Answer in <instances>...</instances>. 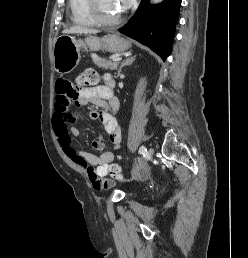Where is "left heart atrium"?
<instances>
[{"label": "left heart atrium", "instance_id": "39dd6f15", "mask_svg": "<svg viewBox=\"0 0 248 258\" xmlns=\"http://www.w3.org/2000/svg\"><path fill=\"white\" fill-rule=\"evenodd\" d=\"M117 6L120 11H124L131 6L133 0H116Z\"/></svg>", "mask_w": 248, "mask_h": 258}]
</instances>
